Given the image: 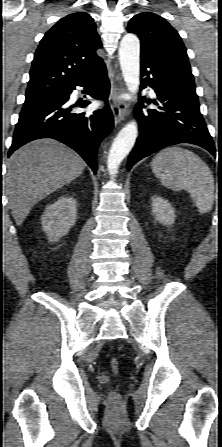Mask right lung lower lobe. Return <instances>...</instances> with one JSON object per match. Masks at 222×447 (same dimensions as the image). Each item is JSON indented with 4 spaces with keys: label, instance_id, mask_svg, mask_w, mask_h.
Segmentation results:
<instances>
[{
    "label": "right lung lower lobe",
    "instance_id": "obj_1",
    "mask_svg": "<svg viewBox=\"0 0 222 447\" xmlns=\"http://www.w3.org/2000/svg\"><path fill=\"white\" fill-rule=\"evenodd\" d=\"M76 86H83L94 99L104 100L106 106L92 114L75 113L77 106L86 107L90 101L70 105L69 97ZM110 83L104 62L86 78L60 94L55 100L30 110L21 111L8 157L22 145L39 138L56 139L78 152L96 174L97 150L102 139L114 125L108 106Z\"/></svg>",
    "mask_w": 222,
    "mask_h": 447
}]
</instances>
